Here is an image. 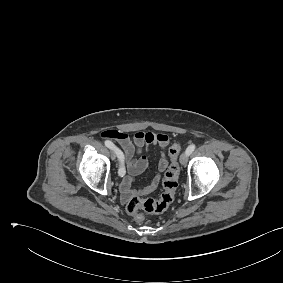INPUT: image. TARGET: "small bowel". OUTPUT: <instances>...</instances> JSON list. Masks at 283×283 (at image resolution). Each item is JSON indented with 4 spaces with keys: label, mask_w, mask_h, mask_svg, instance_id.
Instances as JSON below:
<instances>
[{
    "label": "small bowel",
    "mask_w": 283,
    "mask_h": 283,
    "mask_svg": "<svg viewBox=\"0 0 283 283\" xmlns=\"http://www.w3.org/2000/svg\"><path fill=\"white\" fill-rule=\"evenodd\" d=\"M101 136L106 139L115 140L123 150L127 176L120 184L122 200L127 202L132 197H143L152 193L159 184L160 174L166 170L170 161V156L167 152L169 137L163 133L140 131L131 138L127 133L113 129L103 131ZM151 145H159L162 148V154L157 165L158 173L143 188L134 190L131 188L134 178L141 174L148 166V160L143 154V151L148 150Z\"/></svg>",
    "instance_id": "1"
}]
</instances>
